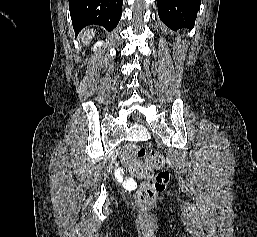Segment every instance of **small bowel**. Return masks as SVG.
Instances as JSON below:
<instances>
[{"mask_svg": "<svg viewBox=\"0 0 257 237\" xmlns=\"http://www.w3.org/2000/svg\"><path fill=\"white\" fill-rule=\"evenodd\" d=\"M123 161L126 162V158L123 157ZM115 176L120 181H125V175L124 171L121 168H116L115 170Z\"/></svg>", "mask_w": 257, "mask_h": 237, "instance_id": "small-bowel-1", "label": "small bowel"}]
</instances>
